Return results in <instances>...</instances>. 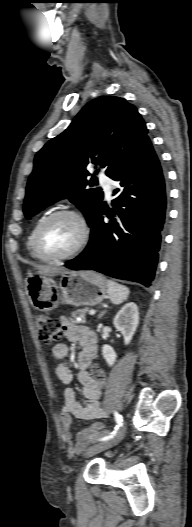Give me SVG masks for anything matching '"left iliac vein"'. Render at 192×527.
Masks as SVG:
<instances>
[{
    "label": "left iliac vein",
    "mask_w": 192,
    "mask_h": 527,
    "mask_svg": "<svg viewBox=\"0 0 192 527\" xmlns=\"http://www.w3.org/2000/svg\"><path fill=\"white\" fill-rule=\"evenodd\" d=\"M125 434H126V425L123 424L121 428L119 429V431L117 432V434L113 438L93 445L85 452L84 456L90 457L108 448H111L114 445H117L124 438Z\"/></svg>",
    "instance_id": "4c4485c4"
}]
</instances>
